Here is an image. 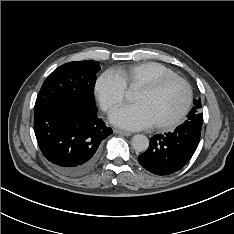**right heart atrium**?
<instances>
[{"instance_id": "right-heart-atrium-1", "label": "right heart atrium", "mask_w": 234, "mask_h": 234, "mask_svg": "<svg viewBox=\"0 0 234 234\" xmlns=\"http://www.w3.org/2000/svg\"><path fill=\"white\" fill-rule=\"evenodd\" d=\"M95 95L104 111H111L125 99L126 88L119 77L111 70L103 72L96 80Z\"/></svg>"}]
</instances>
